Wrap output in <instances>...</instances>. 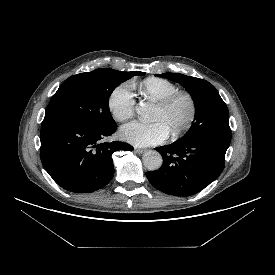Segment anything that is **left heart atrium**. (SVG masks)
<instances>
[{"label":"left heart atrium","instance_id":"left-heart-atrium-1","mask_svg":"<svg viewBox=\"0 0 275 275\" xmlns=\"http://www.w3.org/2000/svg\"><path fill=\"white\" fill-rule=\"evenodd\" d=\"M169 131L161 121L146 123L132 121L121 128V138L137 147H146L164 142Z\"/></svg>","mask_w":275,"mask_h":275}]
</instances>
